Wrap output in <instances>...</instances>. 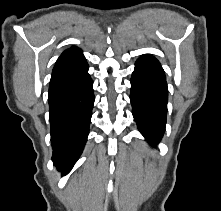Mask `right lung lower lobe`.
I'll return each mask as SVG.
<instances>
[{"instance_id": "right-lung-lower-lobe-1", "label": "right lung lower lobe", "mask_w": 221, "mask_h": 211, "mask_svg": "<svg viewBox=\"0 0 221 211\" xmlns=\"http://www.w3.org/2000/svg\"><path fill=\"white\" fill-rule=\"evenodd\" d=\"M88 68L85 64L71 72L52 76L49 84L52 160L63 175L73 168L89 134L94 93Z\"/></svg>"}]
</instances>
